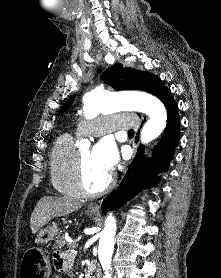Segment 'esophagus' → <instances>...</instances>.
<instances>
[{"label":"esophagus","mask_w":221,"mask_h":278,"mask_svg":"<svg viewBox=\"0 0 221 278\" xmlns=\"http://www.w3.org/2000/svg\"><path fill=\"white\" fill-rule=\"evenodd\" d=\"M90 209L94 210V211H99V205L97 203H92L90 206H89Z\"/></svg>","instance_id":"obj_1"}]
</instances>
